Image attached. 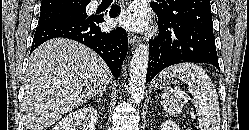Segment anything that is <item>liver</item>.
<instances>
[{
	"label": "liver",
	"instance_id": "liver-1",
	"mask_svg": "<svg viewBox=\"0 0 249 130\" xmlns=\"http://www.w3.org/2000/svg\"><path fill=\"white\" fill-rule=\"evenodd\" d=\"M111 73L90 48L64 38L31 55L22 102L25 130H46L57 119L106 89Z\"/></svg>",
	"mask_w": 249,
	"mask_h": 130
}]
</instances>
